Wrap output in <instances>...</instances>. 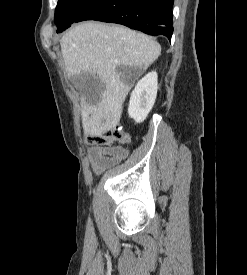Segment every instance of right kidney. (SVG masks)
Instances as JSON below:
<instances>
[{"label": "right kidney", "instance_id": "right-kidney-1", "mask_svg": "<svg viewBox=\"0 0 247 275\" xmlns=\"http://www.w3.org/2000/svg\"><path fill=\"white\" fill-rule=\"evenodd\" d=\"M158 76L155 71L146 74L138 81L131 93L128 114L136 123L143 122L151 111L158 88Z\"/></svg>", "mask_w": 247, "mask_h": 275}]
</instances>
